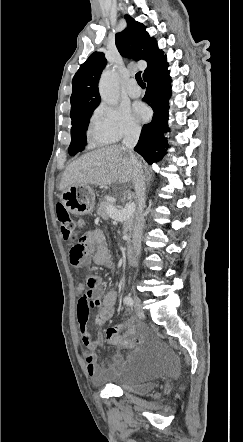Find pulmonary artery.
Listing matches in <instances>:
<instances>
[{
    "label": "pulmonary artery",
    "instance_id": "e3ab8cb5",
    "mask_svg": "<svg viewBox=\"0 0 243 442\" xmlns=\"http://www.w3.org/2000/svg\"><path fill=\"white\" fill-rule=\"evenodd\" d=\"M127 93L132 98H138L141 95V89L134 78L130 79L128 82Z\"/></svg>",
    "mask_w": 243,
    "mask_h": 442
}]
</instances>
